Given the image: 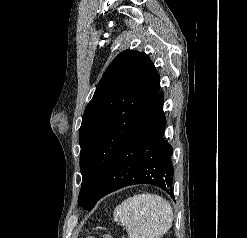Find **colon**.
<instances>
[{"label":"colon","mask_w":247,"mask_h":238,"mask_svg":"<svg viewBox=\"0 0 247 238\" xmlns=\"http://www.w3.org/2000/svg\"><path fill=\"white\" fill-rule=\"evenodd\" d=\"M101 238H113V237L111 235L106 234V235L101 236Z\"/></svg>","instance_id":"obj_1"}]
</instances>
